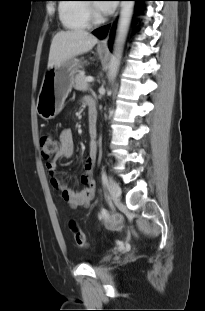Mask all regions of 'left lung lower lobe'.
Returning <instances> with one entry per match:
<instances>
[{
    "label": "left lung lower lobe",
    "instance_id": "1",
    "mask_svg": "<svg viewBox=\"0 0 205 311\" xmlns=\"http://www.w3.org/2000/svg\"><path fill=\"white\" fill-rule=\"evenodd\" d=\"M133 1H146V0H133ZM109 26H103L94 31V34L99 38H104L108 32Z\"/></svg>",
    "mask_w": 205,
    "mask_h": 311
}]
</instances>
